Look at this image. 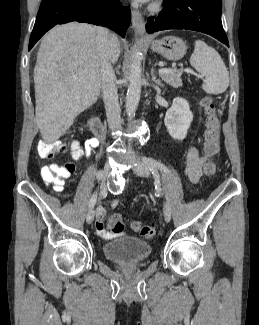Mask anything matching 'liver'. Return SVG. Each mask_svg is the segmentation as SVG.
Wrapping results in <instances>:
<instances>
[{
	"label": "liver",
	"instance_id": "liver-1",
	"mask_svg": "<svg viewBox=\"0 0 259 325\" xmlns=\"http://www.w3.org/2000/svg\"><path fill=\"white\" fill-rule=\"evenodd\" d=\"M97 28L86 23L59 25L44 35L34 68L36 122L46 143L58 140L75 118L100 95L96 68ZM120 41L110 35V61L116 63Z\"/></svg>",
	"mask_w": 259,
	"mask_h": 325
}]
</instances>
